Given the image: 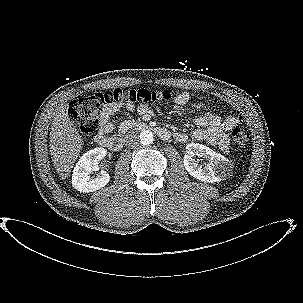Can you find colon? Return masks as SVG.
I'll return each instance as SVG.
<instances>
[{"instance_id": "1", "label": "colon", "mask_w": 303, "mask_h": 303, "mask_svg": "<svg viewBox=\"0 0 303 303\" xmlns=\"http://www.w3.org/2000/svg\"><path fill=\"white\" fill-rule=\"evenodd\" d=\"M168 96L167 91H155L146 88L108 90L74 99L69 105L68 116L78 126L80 132L86 138H90L96 134L98 113L105 105L114 103L142 105L167 99ZM248 138V133L242 128H235L232 131L233 143L238 148H243L247 144Z\"/></svg>"}]
</instances>
